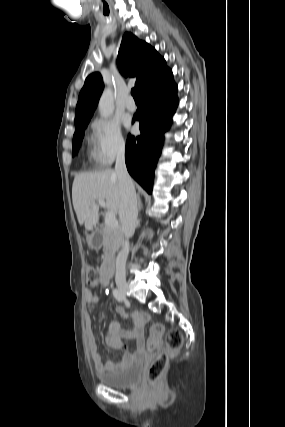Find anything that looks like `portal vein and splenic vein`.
Wrapping results in <instances>:
<instances>
[{"instance_id":"1","label":"portal vein and splenic vein","mask_w":285,"mask_h":427,"mask_svg":"<svg viewBox=\"0 0 285 427\" xmlns=\"http://www.w3.org/2000/svg\"><path fill=\"white\" fill-rule=\"evenodd\" d=\"M98 203L100 206H102L103 208L106 207V203L103 199H98ZM105 223L107 226L110 227H116L118 226V221L116 219V214L112 211H108L105 215Z\"/></svg>"}]
</instances>
